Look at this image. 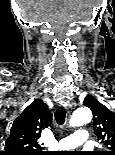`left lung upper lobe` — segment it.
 I'll return each mask as SVG.
<instances>
[{"label": "left lung upper lobe", "mask_w": 115, "mask_h": 155, "mask_svg": "<svg viewBox=\"0 0 115 155\" xmlns=\"http://www.w3.org/2000/svg\"><path fill=\"white\" fill-rule=\"evenodd\" d=\"M83 105L89 107L94 115L95 135L107 148L96 155H115V113L110 111L92 95H88Z\"/></svg>", "instance_id": "5c2ea615"}]
</instances>
